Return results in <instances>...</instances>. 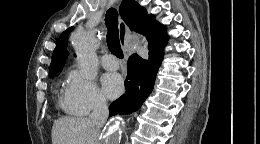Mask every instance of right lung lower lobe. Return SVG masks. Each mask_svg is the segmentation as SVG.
<instances>
[{"mask_svg": "<svg viewBox=\"0 0 260 144\" xmlns=\"http://www.w3.org/2000/svg\"><path fill=\"white\" fill-rule=\"evenodd\" d=\"M167 40L149 48L148 60L133 54L128 60V73L125 80L126 93L112 102L109 115L130 114L138 110L153 90L156 74L163 59V47Z\"/></svg>", "mask_w": 260, "mask_h": 144, "instance_id": "right-lung-lower-lobe-1", "label": "right lung lower lobe"}]
</instances>
